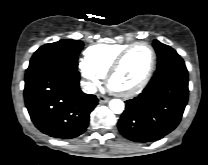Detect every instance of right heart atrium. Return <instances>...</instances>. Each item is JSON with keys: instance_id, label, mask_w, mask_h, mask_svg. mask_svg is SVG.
<instances>
[{"instance_id": "obj_1", "label": "right heart atrium", "mask_w": 208, "mask_h": 165, "mask_svg": "<svg viewBox=\"0 0 208 165\" xmlns=\"http://www.w3.org/2000/svg\"><path fill=\"white\" fill-rule=\"evenodd\" d=\"M80 74L84 80L87 88H92L98 84L100 75L97 74L84 59H81L78 63Z\"/></svg>"}]
</instances>
